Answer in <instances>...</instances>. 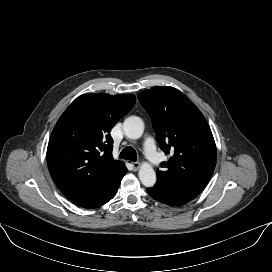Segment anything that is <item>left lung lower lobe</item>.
<instances>
[{"instance_id":"left-lung-lower-lobe-1","label":"left lung lower lobe","mask_w":272,"mask_h":272,"mask_svg":"<svg viewBox=\"0 0 272 272\" xmlns=\"http://www.w3.org/2000/svg\"><path fill=\"white\" fill-rule=\"evenodd\" d=\"M148 194L157 201L169 206H181L191 201L197 193L168 185H155L147 188Z\"/></svg>"}]
</instances>
